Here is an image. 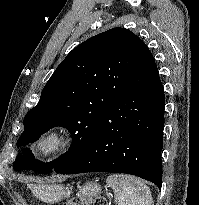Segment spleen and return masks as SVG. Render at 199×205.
I'll return each instance as SVG.
<instances>
[{
	"mask_svg": "<svg viewBox=\"0 0 199 205\" xmlns=\"http://www.w3.org/2000/svg\"><path fill=\"white\" fill-rule=\"evenodd\" d=\"M106 182L114 190L118 205H154L150 188L139 178L112 174Z\"/></svg>",
	"mask_w": 199,
	"mask_h": 205,
	"instance_id": "1",
	"label": "spleen"
}]
</instances>
